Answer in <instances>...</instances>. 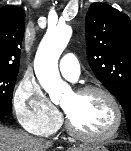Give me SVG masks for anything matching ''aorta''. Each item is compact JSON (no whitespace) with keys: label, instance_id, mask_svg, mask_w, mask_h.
Listing matches in <instances>:
<instances>
[{"label":"aorta","instance_id":"aorta-1","mask_svg":"<svg viewBox=\"0 0 131 151\" xmlns=\"http://www.w3.org/2000/svg\"><path fill=\"white\" fill-rule=\"evenodd\" d=\"M71 33V28L67 25L49 29L35 56L36 76L53 101L60 98L65 87L59 75L58 60L70 40Z\"/></svg>","mask_w":131,"mask_h":151}]
</instances>
